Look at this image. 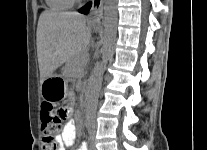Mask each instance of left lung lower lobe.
I'll return each mask as SVG.
<instances>
[{
	"instance_id": "obj_1",
	"label": "left lung lower lobe",
	"mask_w": 207,
	"mask_h": 150,
	"mask_svg": "<svg viewBox=\"0 0 207 150\" xmlns=\"http://www.w3.org/2000/svg\"><path fill=\"white\" fill-rule=\"evenodd\" d=\"M97 2L98 1H95V3H97ZM91 6H92V2H89L85 6H83L82 8H80L79 9V12L86 14L90 10Z\"/></svg>"
}]
</instances>
